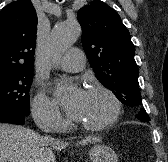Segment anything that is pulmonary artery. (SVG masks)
Returning a JSON list of instances; mask_svg holds the SVG:
<instances>
[{"label": "pulmonary artery", "instance_id": "pulmonary-artery-1", "mask_svg": "<svg viewBox=\"0 0 168 162\" xmlns=\"http://www.w3.org/2000/svg\"><path fill=\"white\" fill-rule=\"evenodd\" d=\"M85 54L79 48L67 51L57 63V66L67 72H78L85 66Z\"/></svg>", "mask_w": 168, "mask_h": 162}]
</instances>
